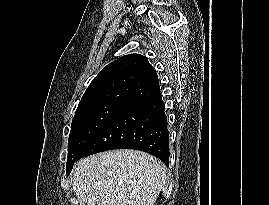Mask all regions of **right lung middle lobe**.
<instances>
[{
  "mask_svg": "<svg viewBox=\"0 0 269 205\" xmlns=\"http://www.w3.org/2000/svg\"><path fill=\"white\" fill-rule=\"evenodd\" d=\"M126 108L123 105L100 104L76 110L68 140L67 174H70L80 150L104 125Z\"/></svg>",
  "mask_w": 269,
  "mask_h": 205,
  "instance_id": "right-lung-middle-lobe-1",
  "label": "right lung middle lobe"
}]
</instances>
